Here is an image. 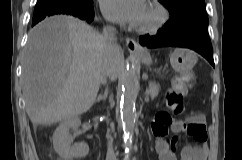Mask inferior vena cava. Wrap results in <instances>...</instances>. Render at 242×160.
Masks as SVG:
<instances>
[{"label": "inferior vena cava", "mask_w": 242, "mask_h": 160, "mask_svg": "<svg viewBox=\"0 0 242 160\" xmlns=\"http://www.w3.org/2000/svg\"><path fill=\"white\" fill-rule=\"evenodd\" d=\"M103 40L107 49V56L104 68H100V82L106 84L107 81H115L117 73H120V63H122V50H118L116 44V29L112 26H107L103 29ZM106 160H116L113 150L112 141L108 143Z\"/></svg>", "instance_id": "602c4592"}]
</instances>
